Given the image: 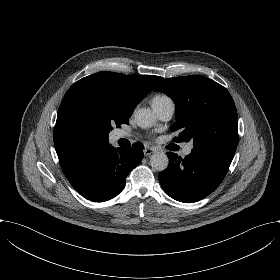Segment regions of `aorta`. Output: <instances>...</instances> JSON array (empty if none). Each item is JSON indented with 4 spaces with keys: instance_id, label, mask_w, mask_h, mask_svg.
Returning <instances> with one entry per match:
<instances>
[{
    "instance_id": "aorta-1",
    "label": "aorta",
    "mask_w": 280,
    "mask_h": 280,
    "mask_svg": "<svg viewBox=\"0 0 280 280\" xmlns=\"http://www.w3.org/2000/svg\"><path fill=\"white\" fill-rule=\"evenodd\" d=\"M134 121L142 129L151 128L155 124L154 113L149 108H140L134 112ZM168 163L169 159L163 152H158L150 158V166L158 172L164 171Z\"/></svg>"
}]
</instances>
